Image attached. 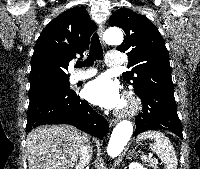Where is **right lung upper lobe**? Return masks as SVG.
I'll return each instance as SVG.
<instances>
[{"instance_id": "right-lung-upper-lobe-1", "label": "right lung upper lobe", "mask_w": 200, "mask_h": 169, "mask_svg": "<svg viewBox=\"0 0 200 169\" xmlns=\"http://www.w3.org/2000/svg\"><path fill=\"white\" fill-rule=\"evenodd\" d=\"M96 24L83 7H74L54 18L41 32L31 58L30 86L48 79L69 78L71 60L89 48Z\"/></svg>"}]
</instances>
